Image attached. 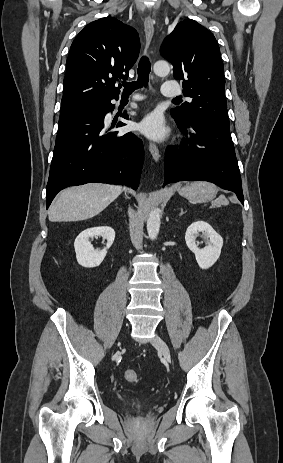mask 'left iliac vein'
Instances as JSON below:
<instances>
[{"instance_id":"4c4485c4","label":"left iliac vein","mask_w":283,"mask_h":463,"mask_svg":"<svg viewBox=\"0 0 283 463\" xmlns=\"http://www.w3.org/2000/svg\"><path fill=\"white\" fill-rule=\"evenodd\" d=\"M153 346L162 353L165 359L170 360V351L166 342L159 336H156L152 340Z\"/></svg>"}]
</instances>
